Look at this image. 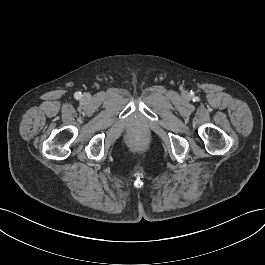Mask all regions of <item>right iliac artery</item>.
<instances>
[{
  "instance_id": "right-iliac-artery-1",
  "label": "right iliac artery",
  "mask_w": 265,
  "mask_h": 265,
  "mask_svg": "<svg viewBox=\"0 0 265 265\" xmlns=\"http://www.w3.org/2000/svg\"><path fill=\"white\" fill-rule=\"evenodd\" d=\"M74 97L76 99H79L81 97V93L80 92H76L75 95H74Z\"/></svg>"
}]
</instances>
